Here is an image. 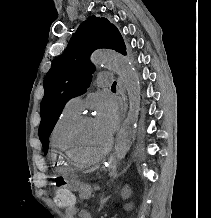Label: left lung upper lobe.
Segmentation results:
<instances>
[{"instance_id": "obj_1", "label": "left lung upper lobe", "mask_w": 211, "mask_h": 218, "mask_svg": "<svg viewBox=\"0 0 211 218\" xmlns=\"http://www.w3.org/2000/svg\"><path fill=\"white\" fill-rule=\"evenodd\" d=\"M99 48L126 54L123 38L116 26L106 18L91 16L78 27L64 53L53 60L43 82L45 94L40 106L39 138L44 154H47L48 138L65 104L89 87L95 71L89 58Z\"/></svg>"}]
</instances>
